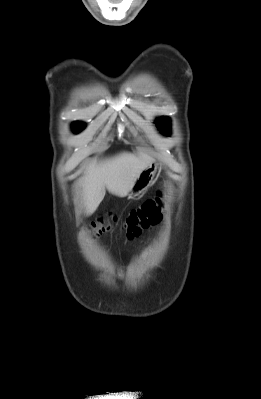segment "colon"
Here are the masks:
<instances>
[{"instance_id": "5ec220e1", "label": "colon", "mask_w": 261, "mask_h": 399, "mask_svg": "<svg viewBox=\"0 0 261 399\" xmlns=\"http://www.w3.org/2000/svg\"><path fill=\"white\" fill-rule=\"evenodd\" d=\"M164 198L162 191L147 199L140 206L132 209L119 223L115 216H108L91 223L88 228L93 237L114 232L118 228L128 239L137 237L142 230L157 225L161 220V205Z\"/></svg>"}]
</instances>
